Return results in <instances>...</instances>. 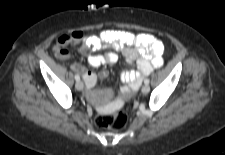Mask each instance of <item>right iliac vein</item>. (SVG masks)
Wrapping results in <instances>:
<instances>
[{
    "label": "right iliac vein",
    "mask_w": 225,
    "mask_h": 155,
    "mask_svg": "<svg viewBox=\"0 0 225 155\" xmlns=\"http://www.w3.org/2000/svg\"><path fill=\"white\" fill-rule=\"evenodd\" d=\"M75 87H76V89L77 90H82L83 89V87H84V84H83V82L82 81H80V80H78L77 82H76V84H75Z\"/></svg>",
    "instance_id": "1"
}]
</instances>
